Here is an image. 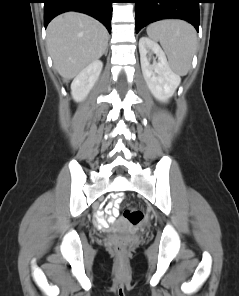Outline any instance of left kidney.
<instances>
[{
  "label": "left kidney",
  "mask_w": 239,
  "mask_h": 296,
  "mask_svg": "<svg viewBox=\"0 0 239 296\" xmlns=\"http://www.w3.org/2000/svg\"><path fill=\"white\" fill-rule=\"evenodd\" d=\"M141 69L144 80L152 95L161 102H167L175 93L181 78L172 71L165 53L155 41L148 37L139 40ZM154 53L158 62L150 64L147 54Z\"/></svg>",
  "instance_id": "obj_1"
}]
</instances>
